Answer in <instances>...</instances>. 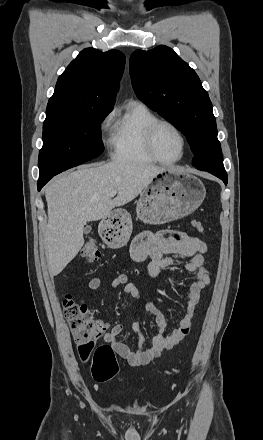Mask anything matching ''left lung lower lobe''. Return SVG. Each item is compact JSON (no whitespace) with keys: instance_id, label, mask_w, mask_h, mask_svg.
<instances>
[{"instance_id":"obj_1","label":"left lung lower lobe","mask_w":263,"mask_h":440,"mask_svg":"<svg viewBox=\"0 0 263 440\" xmlns=\"http://www.w3.org/2000/svg\"><path fill=\"white\" fill-rule=\"evenodd\" d=\"M211 174L217 176L218 178H220L225 184H227L228 179H227V173L226 172H216V171H212L210 172Z\"/></svg>"}]
</instances>
